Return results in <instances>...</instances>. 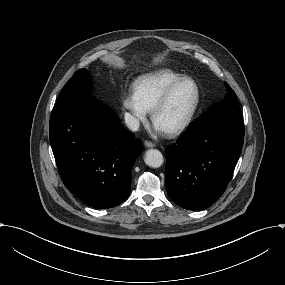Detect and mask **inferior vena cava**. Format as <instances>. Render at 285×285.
<instances>
[{"mask_svg":"<svg viewBox=\"0 0 285 285\" xmlns=\"http://www.w3.org/2000/svg\"><path fill=\"white\" fill-rule=\"evenodd\" d=\"M124 118H125V123L129 129H131L132 131H137L139 129L140 125L139 120L135 118L133 115H131L130 113H125Z\"/></svg>","mask_w":285,"mask_h":285,"instance_id":"obj_1","label":"inferior vena cava"}]
</instances>
